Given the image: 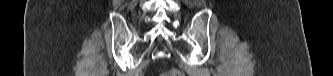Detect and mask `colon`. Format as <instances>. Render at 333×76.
Here are the masks:
<instances>
[{
	"label": "colon",
	"instance_id": "1",
	"mask_svg": "<svg viewBox=\"0 0 333 76\" xmlns=\"http://www.w3.org/2000/svg\"><path fill=\"white\" fill-rule=\"evenodd\" d=\"M168 76H182V73L178 70L172 69L167 72Z\"/></svg>",
	"mask_w": 333,
	"mask_h": 76
}]
</instances>
